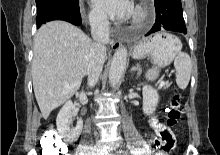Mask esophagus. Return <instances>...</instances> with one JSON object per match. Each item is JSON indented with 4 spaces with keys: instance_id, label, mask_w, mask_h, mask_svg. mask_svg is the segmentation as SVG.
<instances>
[{
    "instance_id": "obj_1",
    "label": "esophagus",
    "mask_w": 220,
    "mask_h": 155,
    "mask_svg": "<svg viewBox=\"0 0 220 155\" xmlns=\"http://www.w3.org/2000/svg\"><path fill=\"white\" fill-rule=\"evenodd\" d=\"M110 45L113 50H118L121 46V42L119 40H111Z\"/></svg>"
}]
</instances>
